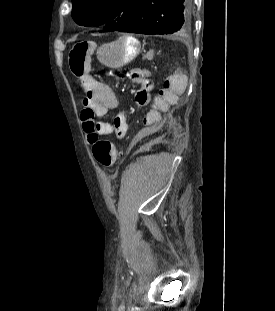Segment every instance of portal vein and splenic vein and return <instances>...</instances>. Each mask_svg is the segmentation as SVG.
<instances>
[{
  "instance_id": "obj_1",
  "label": "portal vein and splenic vein",
  "mask_w": 275,
  "mask_h": 311,
  "mask_svg": "<svg viewBox=\"0 0 275 311\" xmlns=\"http://www.w3.org/2000/svg\"><path fill=\"white\" fill-rule=\"evenodd\" d=\"M153 57V51H150L147 53V59H152Z\"/></svg>"
}]
</instances>
